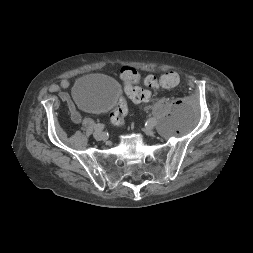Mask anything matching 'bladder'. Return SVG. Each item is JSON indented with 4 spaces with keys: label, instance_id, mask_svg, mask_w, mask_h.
Masks as SVG:
<instances>
[{
    "label": "bladder",
    "instance_id": "obj_1",
    "mask_svg": "<svg viewBox=\"0 0 253 253\" xmlns=\"http://www.w3.org/2000/svg\"><path fill=\"white\" fill-rule=\"evenodd\" d=\"M119 84L103 74H87L79 78L72 89L74 101L92 112H105L118 102Z\"/></svg>",
    "mask_w": 253,
    "mask_h": 253
}]
</instances>
